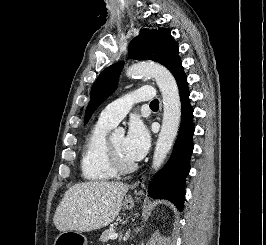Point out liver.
Masks as SVG:
<instances>
[{
    "mask_svg": "<svg viewBox=\"0 0 266 245\" xmlns=\"http://www.w3.org/2000/svg\"><path fill=\"white\" fill-rule=\"evenodd\" d=\"M130 185L124 183H78L66 191L53 223L58 231H94L107 227L119 215Z\"/></svg>",
    "mask_w": 266,
    "mask_h": 245,
    "instance_id": "6515ba94",
    "label": "liver"
}]
</instances>
